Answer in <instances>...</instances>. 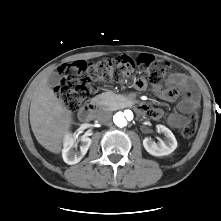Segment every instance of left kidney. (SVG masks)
I'll list each match as a JSON object with an SVG mask.
<instances>
[{
    "label": "left kidney",
    "instance_id": "obj_1",
    "mask_svg": "<svg viewBox=\"0 0 221 221\" xmlns=\"http://www.w3.org/2000/svg\"><path fill=\"white\" fill-rule=\"evenodd\" d=\"M158 131L164 134L165 141L158 144L146 137L143 140L145 150L153 156H165L171 154L177 148V141L172 131L163 125L157 126Z\"/></svg>",
    "mask_w": 221,
    "mask_h": 221
}]
</instances>
